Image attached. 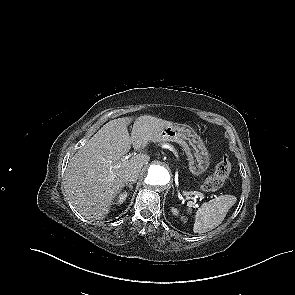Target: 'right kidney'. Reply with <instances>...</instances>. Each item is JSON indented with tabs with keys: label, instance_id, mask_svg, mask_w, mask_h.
I'll return each mask as SVG.
<instances>
[{
	"label": "right kidney",
	"instance_id": "1",
	"mask_svg": "<svg viewBox=\"0 0 295 295\" xmlns=\"http://www.w3.org/2000/svg\"><path fill=\"white\" fill-rule=\"evenodd\" d=\"M126 197H127V193H123V194H121V195L119 196V201H118V203H119V204H122V203L125 201Z\"/></svg>",
	"mask_w": 295,
	"mask_h": 295
}]
</instances>
